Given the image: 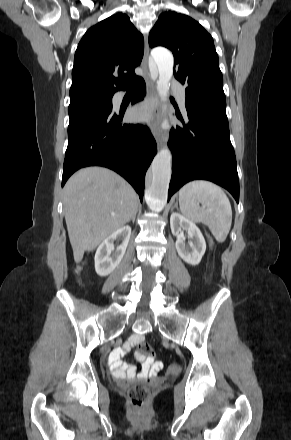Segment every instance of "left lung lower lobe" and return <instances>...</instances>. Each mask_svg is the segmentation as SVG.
<instances>
[{
  "label": "left lung lower lobe",
  "mask_w": 291,
  "mask_h": 440,
  "mask_svg": "<svg viewBox=\"0 0 291 440\" xmlns=\"http://www.w3.org/2000/svg\"><path fill=\"white\" fill-rule=\"evenodd\" d=\"M184 128H172V177L168 200L185 183L204 179L226 188L239 202L236 158L230 141L226 103L186 95Z\"/></svg>",
  "instance_id": "0a47b994"
}]
</instances>
